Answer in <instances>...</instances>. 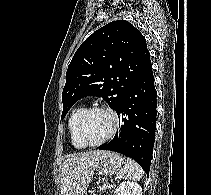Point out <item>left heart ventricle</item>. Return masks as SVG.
Instances as JSON below:
<instances>
[{
  "mask_svg": "<svg viewBox=\"0 0 211 195\" xmlns=\"http://www.w3.org/2000/svg\"><path fill=\"white\" fill-rule=\"evenodd\" d=\"M112 118L104 111H93L86 116L81 133L86 142L95 143L102 140L111 130Z\"/></svg>",
  "mask_w": 211,
  "mask_h": 195,
  "instance_id": "obj_1",
  "label": "left heart ventricle"
}]
</instances>
